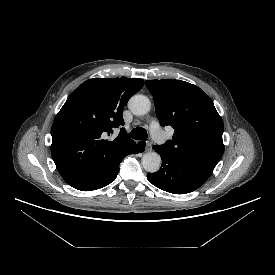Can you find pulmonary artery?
<instances>
[{"label": "pulmonary artery", "instance_id": "1", "mask_svg": "<svg viewBox=\"0 0 275 275\" xmlns=\"http://www.w3.org/2000/svg\"><path fill=\"white\" fill-rule=\"evenodd\" d=\"M150 131H151L153 138L156 141L161 142L163 140V134H162L160 126L157 122L153 121L150 124Z\"/></svg>", "mask_w": 275, "mask_h": 275}]
</instances>
